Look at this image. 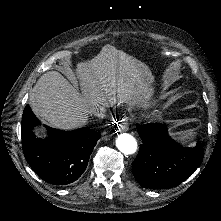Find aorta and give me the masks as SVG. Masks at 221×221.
<instances>
[{
    "mask_svg": "<svg viewBox=\"0 0 221 221\" xmlns=\"http://www.w3.org/2000/svg\"><path fill=\"white\" fill-rule=\"evenodd\" d=\"M116 146L123 154L130 155L136 152L137 141L132 135L128 133H122L116 139Z\"/></svg>",
    "mask_w": 221,
    "mask_h": 221,
    "instance_id": "1",
    "label": "aorta"
}]
</instances>
